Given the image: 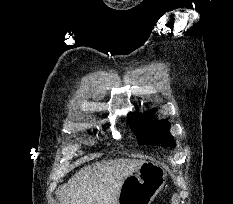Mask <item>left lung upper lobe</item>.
Segmentation results:
<instances>
[{"label":"left lung upper lobe","mask_w":233,"mask_h":204,"mask_svg":"<svg viewBox=\"0 0 233 204\" xmlns=\"http://www.w3.org/2000/svg\"><path fill=\"white\" fill-rule=\"evenodd\" d=\"M155 110L143 114L135 113L130 119L131 128L137 135L140 144H162L175 147V141L168 131L170 124L167 120L157 121L152 114Z\"/></svg>","instance_id":"obj_1"}]
</instances>
